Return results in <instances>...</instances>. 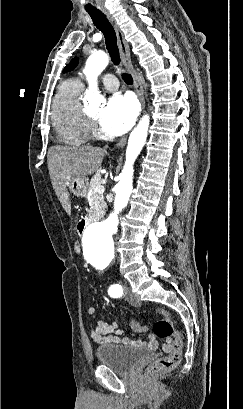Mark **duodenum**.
<instances>
[{"instance_id": "1", "label": "duodenum", "mask_w": 243, "mask_h": 409, "mask_svg": "<svg viewBox=\"0 0 243 409\" xmlns=\"http://www.w3.org/2000/svg\"><path fill=\"white\" fill-rule=\"evenodd\" d=\"M90 224L89 219H83L79 222L78 224V230L79 232H83V230Z\"/></svg>"}]
</instances>
